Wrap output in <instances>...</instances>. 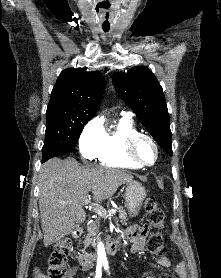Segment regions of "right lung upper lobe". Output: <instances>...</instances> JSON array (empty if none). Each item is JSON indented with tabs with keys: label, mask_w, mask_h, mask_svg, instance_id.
I'll return each instance as SVG.
<instances>
[{
	"label": "right lung upper lobe",
	"mask_w": 221,
	"mask_h": 278,
	"mask_svg": "<svg viewBox=\"0 0 221 278\" xmlns=\"http://www.w3.org/2000/svg\"><path fill=\"white\" fill-rule=\"evenodd\" d=\"M104 89L105 80L99 71L65 69L52 90L46 115L85 116L90 120L99 109Z\"/></svg>",
	"instance_id": "obj_1"
}]
</instances>
